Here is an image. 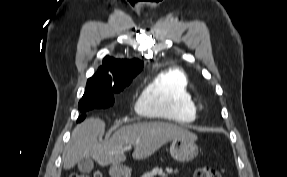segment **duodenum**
Listing matches in <instances>:
<instances>
[{
	"label": "duodenum",
	"instance_id": "duodenum-1",
	"mask_svg": "<svg viewBox=\"0 0 287 177\" xmlns=\"http://www.w3.org/2000/svg\"><path fill=\"white\" fill-rule=\"evenodd\" d=\"M113 173L119 177H128V172L126 167H118L113 170Z\"/></svg>",
	"mask_w": 287,
	"mask_h": 177
}]
</instances>
